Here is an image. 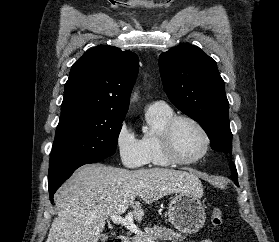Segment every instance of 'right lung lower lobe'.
<instances>
[{
	"mask_svg": "<svg viewBox=\"0 0 279 242\" xmlns=\"http://www.w3.org/2000/svg\"><path fill=\"white\" fill-rule=\"evenodd\" d=\"M105 159V157H91L86 158L83 160L78 161L77 163H74L66 170L60 172L57 176L48 179V187H49V195H50V201L53 203V195L56 192V190L62 185V183L68 179L72 173L79 168L82 165L89 164V163H96L101 160Z\"/></svg>",
	"mask_w": 279,
	"mask_h": 242,
	"instance_id": "right-lung-lower-lobe-1",
	"label": "right lung lower lobe"
}]
</instances>
